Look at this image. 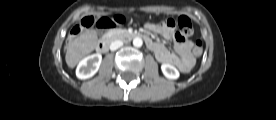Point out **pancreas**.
Masks as SVG:
<instances>
[{
	"mask_svg": "<svg viewBox=\"0 0 276 120\" xmlns=\"http://www.w3.org/2000/svg\"><path fill=\"white\" fill-rule=\"evenodd\" d=\"M119 33H121V31H112V35H118Z\"/></svg>",
	"mask_w": 276,
	"mask_h": 120,
	"instance_id": "pancreas-1",
	"label": "pancreas"
}]
</instances>
